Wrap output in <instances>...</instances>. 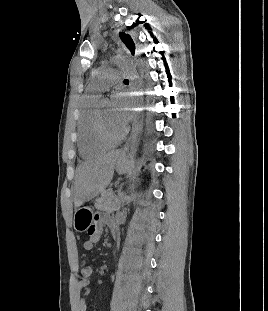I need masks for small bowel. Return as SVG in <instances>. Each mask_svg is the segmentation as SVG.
I'll list each match as a JSON object with an SVG mask.
<instances>
[{
    "instance_id": "1",
    "label": "small bowel",
    "mask_w": 268,
    "mask_h": 311,
    "mask_svg": "<svg viewBox=\"0 0 268 311\" xmlns=\"http://www.w3.org/2000/svg\"><path fill=\"white\" fill-rule=\"evenodd\" d=\"M105 227H108L111 231H115V225L111 219H109L105 215H97L95 219V225L89 229L90 237L83 243V248L86 251L93 250L94 246L100 241L101 235ZM78 287L82 291V295L78 299L77 309L78 311H86V297L90 293L89 278H82L78 282Z\"/></svg>"
}]
</instances>
